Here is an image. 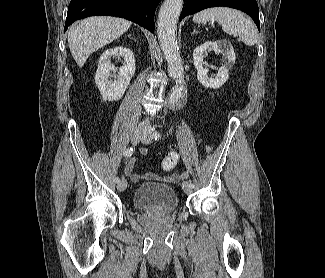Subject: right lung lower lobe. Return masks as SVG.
Instances as JSON below:
<instances>
[{
	"label": "right lung lower lobe",
	"instance_id": "right-lung-lower-lobe-1",
	"mask_svg": "<svg viewBox=\"0 0 325 278\" xmlns=\"http://www.w3.org/2000/svg\"><path fill=\"white\" fill-rule=\"evenodd\" d=\"M161 0H71L64 32L74 21L89 16L110 15L133 21L152 33L154 13Z\"/></svg>",
	"mask_w": 325,
	"mask_h": 278
}]
</instances>
